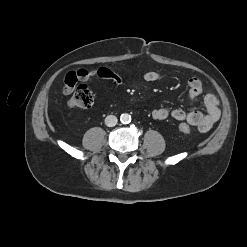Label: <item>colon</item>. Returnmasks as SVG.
<instances>
[{"instance_id":"colon-1","label":"colon","mask_w":247,"mask_h":247,"mask_svg":"<svg viewBox=\"0 0 247 247\" xmlns=\"http://www.w3.org/2000/svg\"><path fill=\"white\" fill-rule=\"evenodd\" d=\"M93 104V95L86 85H79L74 90L68 105L73 108H89ZM179 132L189 134L192 127L187 123H181L178 126Z\"/></svg>"}]
</instances>
